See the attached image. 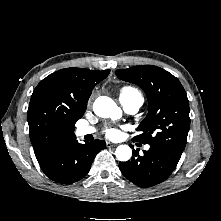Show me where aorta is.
<instances>
[{
	"instance_id": "obj_1",
	"label": "aorta",
	"mask_w": 221,
	"mask_h": 221,
	"mask_svg": "<svg viewBox=\"0 0 221 221\" xmlns=\"http://www.w3.org/2000/svg\"><path fill=\"white\" fill-rule=\"evenodd\" d=\"M93 111L99 117H110L114 120L120 118L122 113L117 104L107 96H100L95 100ZM115 155L119 161H128L132 156V150L128 145H120L116 148Z\"/></svg>"
}]
</instances>
